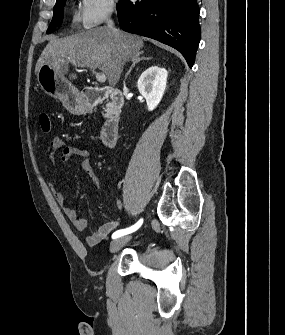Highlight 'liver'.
Returning <instances> with one entry per match:
<instances>
[{
	"instance_id": "6515ba94",
	"label": "liver",
	"mask_w": 285,
	"mask_h": 335,
	"mask_svg": "<svg viewBox=\"0 0 285 335\" xmlns=\"http://www.w3.org/2000/svg\"><path fill=\"white\" fill-rule=\"evenodd\" d=\"M142 38L132 36L127 32H112L107 26L92 28L82 34L50 40L44 48L35 68L38 72L40 66L49 64L61 72L73 64L75 68H90V70H101L105 74L109 86L115 88L123 72V66L135 58L136 54L143 48ZM70 78L76 80V74Z\"/></svg>"
}]
</instances>
